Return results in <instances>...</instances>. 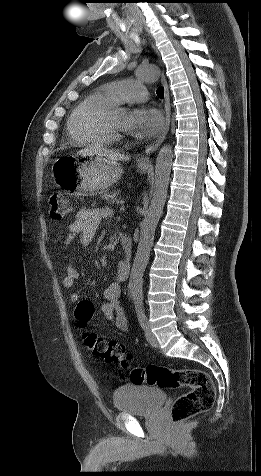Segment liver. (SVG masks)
<instances>
[{
  "instance_id": "6515ba94",
  "label": "liver",
  "mask_w": 261,
  "mask_h": 476,
  "mask_svg": "<svg viewBox=\"0 0 261 476\" xmlns=\"http://www.w3.org/2000/svg\"><path fill=\"white\" fill-rule=\"evenodd\" d=\"M78 154L96 156L97 159H107L112 162L128 161L130 159L124 154L100 146H89L80 150Z\"/></svg>"
}]
</instances>
